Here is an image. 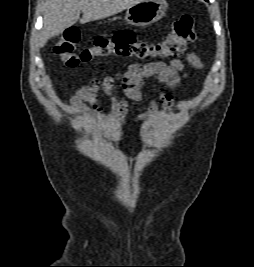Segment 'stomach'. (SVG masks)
Segmentation results:
<instances>
[{
    "mask_svg": "<svg viewBox=\"0 0 254 267\" xmlns=\"http://www.w3.org/2000/svg\"><path fill=\"white\" fill-rule=\"evenodd\" d=\"M167 8L166 0H143L127 9L125 20L135 27L149 26L159 21Z\"/></svg>",
    "mask_w": 254,
    "mask_h": 267,
    "instance_id": "obj_1",
    "label": "stomach"
}]
</instances>
